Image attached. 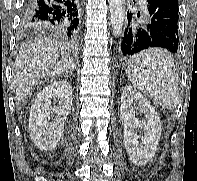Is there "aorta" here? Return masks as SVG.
<instances>
[{
    "label": "aorta",
    "mask_w": 197,
    "mask_h": 181,
    "mask_svg": "<svg viewBox=\"0 0 197 181\" xmlns=\"http://www.w3.org/2000/svg\"><path fill=\"white\" fill-rule=\"evenodd\" d=\"M109 6L112 33L115 37H120L125 19V0H109Z\"/></svg>",
    "instance_id": "aorta-1"
}]
</instances>
